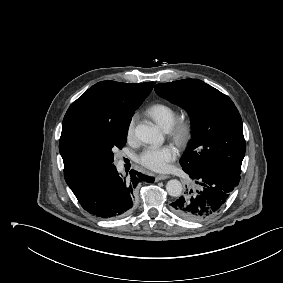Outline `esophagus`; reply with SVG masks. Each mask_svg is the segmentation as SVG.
Returning a JSON list of instances; mask_svg holds the SVG:
<instances>
[{
	"label": "esophagus",
	"instance_id": "esophagus-1",
	"mask_svg": "<svg viewBox=\"0 0 283 283\" xmlns=\"http://www.w3.org/2000/svg\"><path fill=\"white\" fill-rule=\"evenodd\" d=\"M168 178H169L168 175H157V176L155 177V180H156V181H160V180H165V179H168Z\"/></svg>",
	"mask_w": 283,
	"mask_h": 283
}]
</instances>
